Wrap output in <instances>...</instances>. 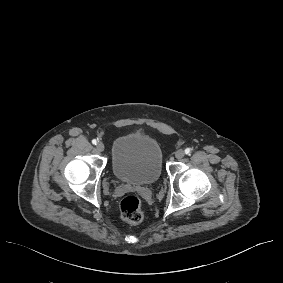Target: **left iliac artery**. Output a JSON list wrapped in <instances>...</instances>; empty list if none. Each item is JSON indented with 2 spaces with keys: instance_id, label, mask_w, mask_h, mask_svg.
Returning a JSON list of instances; mask_svg holds the SVG:
<instances>
[{
  "instance_id": "1",
  "label": "left iliac artery",
  "mask_w": 283,
  "mask_h": 283,
  "mask_svg": "<svg viewBox=\"0 0 283 283\" xmlns=\"http://www.w3.org/2000/svg\"><path fill=\"white\" fill-rule=\"evenodd\" d=\"M190 153H191L190 148H186V149H185V154L190 155Z\"/></svg>"
}]
</instances>
